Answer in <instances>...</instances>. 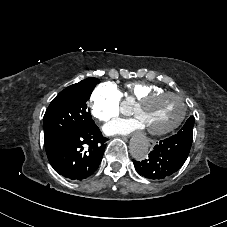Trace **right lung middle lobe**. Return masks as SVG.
<instances>
[{"label":"right lung middle lobe","mask_w":227,"mask_h":227,"mask_svg":"<svg viewBox=\"0 0 227 227\" xmlns=\"http://www.w3.org/2000/svg\"><path fill=\"white\" fill-rule=\"evenodd\" d=\"M100 81L87 78L61 91L50 103L43 117L44 141L57 135L94 124L87 101Z\"/></svg>","instance_id":"1"}]
</instances>
